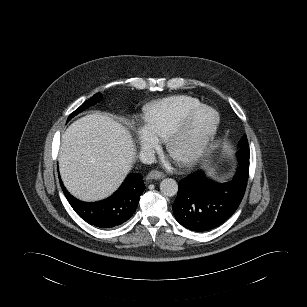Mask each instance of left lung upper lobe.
Masks as SVG:
<instances>
[{
    "instance_id": "left-lung-upper-lobe-1",
    "label": "left lung upper lobe",
    "mask_w": 307,
    "mask_h": 307,
    "mask_svg": "<svg viewBox=\"0 0 307 307\" xmlns=\"http://www.w3.org/2000/svg\"><path fill=\"white\" fill-rule=\"evenodd\" d=\"M238 146L240 147L238 155L249 157L250 152H249V145H248V140H247L246 135L242 137Z\"/></svg>"
}]
</instances>
